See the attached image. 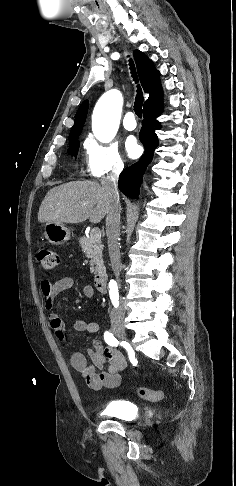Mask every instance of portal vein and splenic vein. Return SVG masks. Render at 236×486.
I'll use <instances>...</instances> for the list:
<instances>
[{"label": "portal vein and splenic vein", "mask_w": 236, "mask_h": 486, "mask_svg": "<svg viewBox=\"0 0 236 486\" xmlns=\"http://www.w3.org/2000/svg\"><path fill=\"white\" fill-rule=\"evenodd\" d=\"M91 237L95 239H100L101 238V231L99 229H92L91 230Z\"/></svg>", "instance_id": "1"}]
</instances>
